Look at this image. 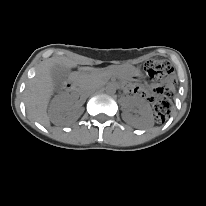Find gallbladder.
<instances>
[{"label": "gallbladder", "mask_w": 206, "mask_h": 206, "mask_svg": "<svg viewBox=\"0 0 206 206\" xmlns=\"http://www.w3.org/2000/svg\"><path fill=\"white\" fill-rule=\"evenodd\" d=\"M71 74V68L66 67L64 65H55L51 69V76L56 88H59L69 77Z\"/></svg>", "instance_id": "gallbladder-1"}]
</instances>
